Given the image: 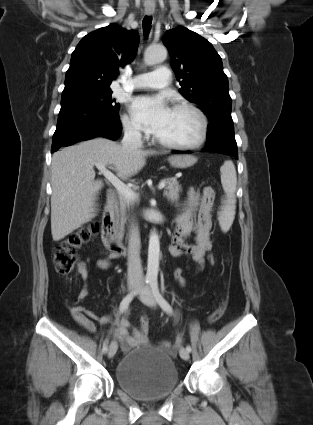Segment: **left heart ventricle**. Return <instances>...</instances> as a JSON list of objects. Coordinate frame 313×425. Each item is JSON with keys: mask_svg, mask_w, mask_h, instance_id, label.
Returning a JSON list of instances; mask_svg holds the SVG:
<instances>
[{"mask_svg": "<svg viewBox=\"0 0 313 425\" xmlns=\"http://www.w3.org/2000/svg\"><path fill=\"white\" fill-rule=\"evenodd\" d=\"M200 132V122L196 115L186 110H171L169 118L156 136L172 143H192Z\"/></svg>", "mask_w": 313, "mask_h": 425, "instance_id": "1", "label": "left heart ventricle"}]
</instances>
